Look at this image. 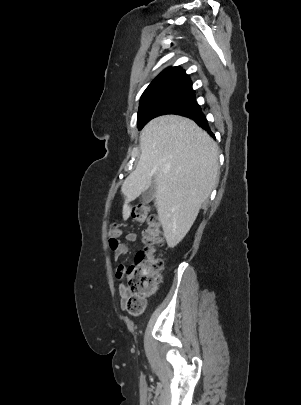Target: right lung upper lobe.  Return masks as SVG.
<instances>
[{
  "mask_svg": "<svg viewBox=\"0 0 301 405\" xmlns=\"http://www.w3.org/2000/svg\"><path fill=\"white\" fill-rule=\"evenodd\" d=\"M178 89L192 90L191 80L180 67H169L150 83L142 94L141 101L158 93Z\"/></svg>",
  "mask_w": 301,
  "mask_h": 405,
  "instance_id": "cb5924a9",
  "label": "right lung upper lobe"
}]
</instances>
